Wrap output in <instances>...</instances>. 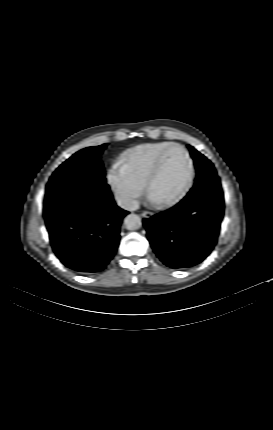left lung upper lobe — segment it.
<instances>
[{
    "label": "left lung upper lobe",
    "mask_w": 273,
    "mask_h": 430,
    "mask_svg": "<svg viewBox=\"0 0 273 430\" xmlns=\"http://www.w3.org/2000/svg\"><path fill=\"white\" fill-rule=\"evenodd\" d=\"M189 149H190L191 156L194 159L196 170L198 173L196 182L201 180V178L204 175L216 174L213 164L205 156H203L198 151H196L192 146H189Z\"/></svg>",
    "instance_id": "5c2ea615"
}]
</instances>
